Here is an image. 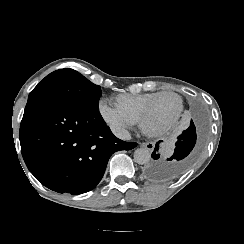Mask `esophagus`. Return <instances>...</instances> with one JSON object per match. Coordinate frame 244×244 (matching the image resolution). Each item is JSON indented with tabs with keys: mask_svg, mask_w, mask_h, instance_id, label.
Segmentation results:
<instances>
[{
	"mask_svg": "<svg viewBox=\"0 0 244 244\" xmlns=\"http://www.w3.org/2000/svg\"><path fill=\"white\" fill-rule=\"evenodd\" d=\"M142 147L146 148L147 150H149L150 152H152L154 150L155 147V143L154 142H144L141 144Z\"/></svg>",
	"mask_w": 244,
	"mask_h": 244,
	"instance_id": "1",
	"label": "esophagus"
}]
</instances>
